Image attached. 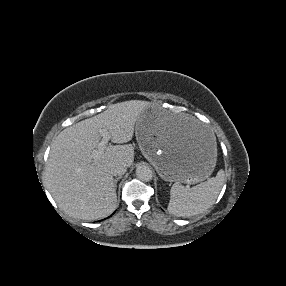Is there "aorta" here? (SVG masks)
Masks as SVG:
<instances>
[{"mask_svg":"<svg viewBox=\"0 0 286 286\" xmlns=\"http://www.w3.org/2000/svg\"><path fill=\"white\" fill-rule=\"evenodd\" d=\"M136 176L141 181H151L153 178V171L146 164H139L136 168Z\"/></svg>","mask_w":286,"mask_h":286,"instance_id":"1","label":"aorta"}]
</instances>
